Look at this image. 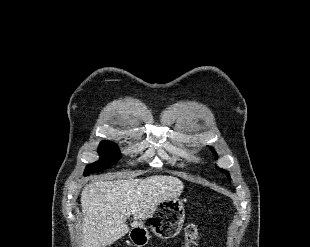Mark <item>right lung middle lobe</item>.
I'll return each instance as SVG.
<instances>
[{
  "instance_id": "right-lung-middle-lobe-1",
  "label": "right lung middle lobe",
  "mask_w": 310,
  "mask_h": 247,
  "mask_svg": "<svg viewBox=\"0 0 310 247\" xmlns=\"http://www.w3.org/2000/svg\"><path fill=\"white\" fill-rule=\"evenodd\" d=\"M98 153L102 156V159L93 164H89L85 169V176L90 173L103 171L104 169L115 164L118 160L120 152L116 144L109 141H103L100 143Z\"/></svg>"
}]
</instances>
